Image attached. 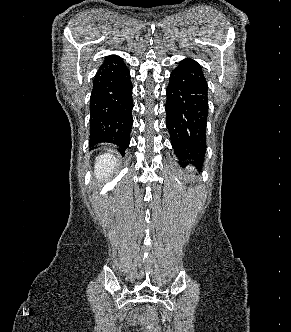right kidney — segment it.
Returning a JSON list of instances; mask_svg holds the SVG:
<instances>
[{"instance_id":"ca27d5eb","label":"right kidney","mask_w":291,"mask_h":332,"mask_svg":"<svg viewBox=\"0 0 291 332\" xmlns=\"http://www.w3.org/2000/svg\"><path fill=\"white\" fill-rule=\"evenodd\" d=\"M117 160L115 157H113L112 154H104L96 159L95 163V174L96 177L101 178H107L108 174L111 172V170L114 168Z\"/></svg>"}]
</instances>
